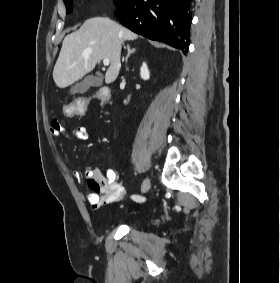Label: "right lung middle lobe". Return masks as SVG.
Instances as JSON below:
<instances>
[{"label":"right lung middle lobe","mask_w":280,"mask_h":283,"mask_svg":"<svg viewBox=\"0 0 280 283\" xmlns=\"http://www.w3.org/2000/svg\"><path fill=\"white\" fill-rule=\"evenodd\" d=\"M126 1L127 0H115V3L117 5V9L122 7L125 4ZM64 3H65V6L67 8V14L71 13L72 10H73L72 9V0H64Z\"/></svg>","instance_id":"obj_1"}]
</instances>
